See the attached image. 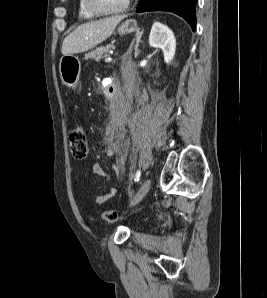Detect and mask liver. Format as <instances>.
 <instances>
[{
    "instance_id": "obj_1",
    "label": "liver",
    "mask_w": 267,
    "mask_h": 298,
    "mask_svg": "<svg viewBox=\"0 0 267 298\" xmlns=\"http://www.w3.org/2000/svg\"><path fill=\"white\" fill-rule=\"evenodd\" d=\"M124 15L112 16L79 25L63 41L62 54L72 55L88 51L111 36Z\"/></svg>"
}]
</instances>
